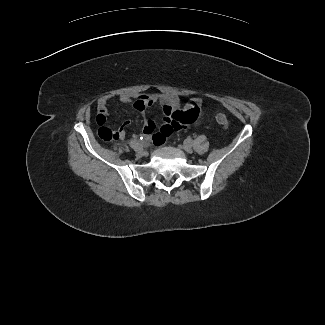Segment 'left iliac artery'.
I'll return each instance as SVG.
<instances>
[{"label":"left iliac artery","mask_w":325,"mask_h":325,"mask_svg":"<svg viewBox=\"0 0 325 325\" xmlns=\"http://www.w3.org/2000/svg\"><path fill=\"white\" fill-rule=\"evenodd\" d=\"M185 143L191 145V144L193 143V140H192L191 138H187V139L185 140Z\"/></svg>","instance_id":"obj_1"}]
</instances>
